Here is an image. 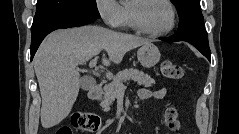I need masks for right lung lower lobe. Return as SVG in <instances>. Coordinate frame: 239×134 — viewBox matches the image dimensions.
Segmentation results:
<instances>
[{"instance_id": "98d812e1", "label": "right lung lower lobe", "mask_w": 239, "mask_h": 134, "mask_svg": "<svg viewBox=\"0 0 239 134\" xmlns=\"http://www.w3.org/2000/svg\"><path fill=\"white\" fill-rule=\"evenodd\" d=\"M97 18L83 15V14H62L55 16L42 25H40L35 30H32V42H31V60L34 57L35 52L37 51L40 43L50 32L59 29V28H69L75 26H82L89 23H92Z\"/></svg>"}]
</instances>
